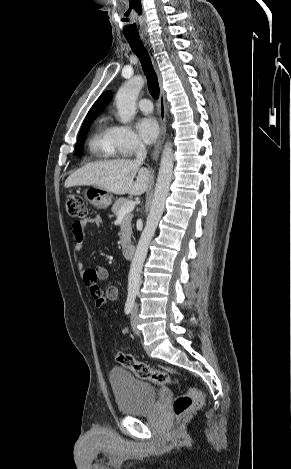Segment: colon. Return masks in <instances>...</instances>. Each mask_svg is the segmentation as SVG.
Listing matches in <instances>:
<instances>
[{
	"label": "colon",
	"instance_id": "obj_1",
	"mask_svg": "<svg viewBox=\"0 0 291 469\" xmlns=\"http://www.w3.org/2000/svg\"><path fill=\"white\" fill-rule=\"evenodd\" d=\"M66 211L73 218H84L87 214L84 199L78 194H70L66 202ZM93 303L97 311H102L106 306V301L101 296H95ZM114 358L121 366L131 370L139 379L149 380L159 386L176 382L175 378L166 371L152 369L147 363L137 361L132 354L116 351ZM203 401L202 393L196 388H190L174 400L173 412L177 417L183 416L200 407Z\"/></svg>",
	"mask_w": 291,
	"mask_h": 469
}]
</instances>
